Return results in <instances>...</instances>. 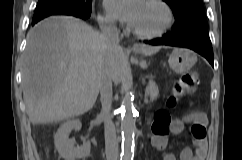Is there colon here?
Instances as JSON below:
<instances>
[{"label": "colon", "instance_id": "5ec220e1", "mask_svg": "<svg viewBox=\"0 0 242 160\" xmlns=\"http://www.w3.org/2000/svg\"><path fill=\"white\" fill-rule=\"evenodd\" d=\"M198 85V73L197 72H189L179 78L172 89L171 95L167 99V105L170 107H174L179 99L184 95L194 91ZM171 121V117L168 112L161 110L155 114L152 130L156 133H165L167 131V127ZM195 133L200 136L201 129L200 127L194 128Z\"/></svg>", "mask_w": 242, "mask_h": 160}]
</instances>
